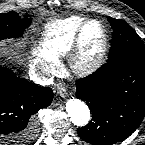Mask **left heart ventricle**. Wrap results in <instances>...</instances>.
I'll return each mask as SVG.
<instances>
[{"label": "left heart ventricle", "instance_id": "b2bd125f", "mask_svg": "<svg viewBox=\"0 0 145 145\" xmlns=\"http://www.w3.org/2000/svg\"><path fill=\"white\" fill-rule=\"evenodd\" d=\"M102 32L97 24H90L83 35L84 59H94L102 45Z\"/></svg>", "mask_w": 145, "mask_h": 145}]
</instances>
